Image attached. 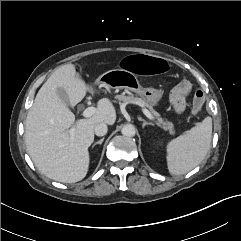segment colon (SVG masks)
I'll return each instance as SVG.
<instances>
[{
    "mask_svg": "<svg viewBox=\"0 0 241 241\" xmlns=\"http://www.w3.org/2000/svg\"><path fill=\"white\" fill-rule=\"evenodd\" d=\"M121 66L129 72L141 76L166 75L172 69V64L168 59L146 54H127L121 59ZM69 69L78 81L89 72V65L83 60H76L72 65H69ZM203 105L204 95L201 91H197L193 99V111L200 112Z\"/></svg>",
    "mask_w": 241,
    "mask_h": 241,
    "instance_id": "1",
    "label": "colon"
}]
</instances>
